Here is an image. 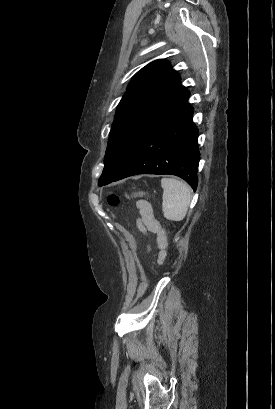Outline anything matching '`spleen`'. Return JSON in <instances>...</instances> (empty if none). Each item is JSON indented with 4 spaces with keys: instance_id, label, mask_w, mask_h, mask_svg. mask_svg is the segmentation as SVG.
Listing matches in <instances>:
<instances>
[{
    "instance_id": "obj_1",
    "label": "spleen",
    "mask_w": 275,
    "mask_h": 409,
    "mask_svg": "<svg viewBox=\"0 0 275 409\" xmlns=\"http://www.w3.org/2000/svg\"><path fill=\"white\" fill-rule=\"evenodd\" d=\"M162 211L168 221H183L191 202L192 188L185 180L162 178Z\"/></svg>"
}]
</instances>
